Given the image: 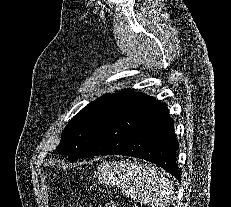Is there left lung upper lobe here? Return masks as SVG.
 <instances>
[{"mask_svg":"<svg viewBox=\"0 0 231 207\" xmlns=\"http://www.w3.org/2000/svg\"><path fill=\"white\" fill-rule=\"evenodd\" d=\"M135 94L125 89L90 102L67 124L57 151L67 154L70 161L81 158L107 120Z\"/></svg>","mask_w":231,"mask_h":207,"instance_id":"obj_1","label":"left lung upper lobe"}]
</instances>
